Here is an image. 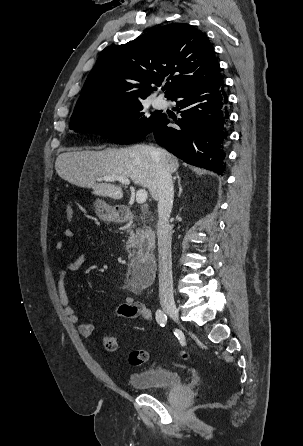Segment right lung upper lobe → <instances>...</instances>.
I'll use <instances>...</instances> for the list:
<instances>
[{
    "label": "right lung upper lobe",
    "instance_id": "obj_1",
    "mask_svg": "<svg viewBox=\"0 0 303 446\" xmlns=\"http://www.w3.org/2000/svg\"><path fill=\"white\" fill-rule=\"evenodd\" d=\"M205 33L173 23L126 44L106 47L89 73L72 116L103 106L146 99L166 80L165 96L211 82L221 75ZM169 77L166 79V76Z\"/></svg>",
    "mask_w": 303,
    "mask_h": 446
}]
</instances>
